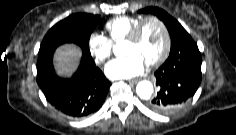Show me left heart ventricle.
<instances>
[{"mask_svg":"<svg viewBox=\"0 0 236 135\" xmlns=\"http://www.w3.org/2000/svg\"><path fill=\"white\" fill-rule=\"evenodd\" d=\"M163 44L162 29L156 22L148 21L144 24L137 42L124 44V54H138L147 64L160 55Z\"/></svg>","mask_w":236,"mask_h":135,"instance_id":"left-heart-ventricle-1","label":"left heart ventricle"}]
</instances>
